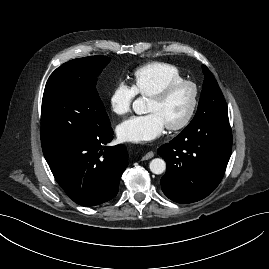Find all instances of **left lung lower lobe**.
<instances>
[{
	"mask_svg": "<svg viewBox=\"0 0 269 269\" xmlns=\"http://www.w3.org/2000/svg\"><path fill=\"white\" fill-rule=\"evenodd\" d=\"M232 149L229 120L186 127L158 149L167 170L161 189L172 201L192 203L207 197L220 183Z\"/></svg>",
	"mask_w": 269,
	"mask_h": 269,
	"instance_id": "0a47b994",
	"label": "left lung lower lobe"
}]
</instances>
